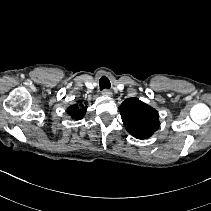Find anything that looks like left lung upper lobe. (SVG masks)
I'll use <instances>...</instances> for the list:
<instances>
[{
    "label": "left lung upper lobe",
    "instance_id": "left-lung-upper-lobe-1",
    "mask_svg": "<svg viewBox=\"0 0 211 211\" xmlns=\"http://www.w3.org/2000/svg\"><path fill=\"white\" fill-rule=\"evenodd\" d=\"M119 111L125 128L137 139L149 138L159 128L158 112L139 99H126Z\"/></svg>",
    "mask_w": 211,
    "mask_h": 211
}]
</instances>
